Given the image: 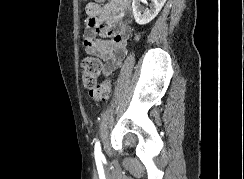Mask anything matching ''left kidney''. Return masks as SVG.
Listing matches in <instances>:
<instances>
[{
    "instance_id": "left-kidney-1",
    "label": "left kidney",
    "mask_w": 244,
    "mask_h": 179,
    "mask_svg": "<svg viewBox=\"0 0 244 179\" xmlns=\"http://www.w3.org/2000/svg\"><path fill=\"white\" fill-rule=\"evenodd\" d=\"M141 0H132L133 16L136 24L144 26V24H149L151 20L156 18L160 10H162L166 0H151L150 8L143 10L140 6Z\"/></svg>"
}]
</instances>
